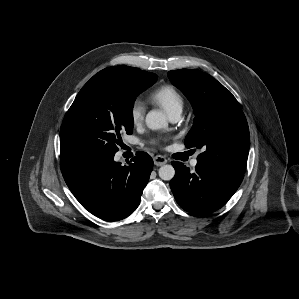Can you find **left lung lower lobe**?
Here are the masks:
<instances>
[{
    "label": "left lung lower lobe",
    "instance_id": "0a47b994",
    "mask_svg": "<svg viewBox=\"0 0 299 299\" xmlns=\"http://www.w3.org/2000/svg\"><path fill=\"white\" fill-rule=\"evenodd\" d=\"M175 176L170 187L177 203L187 212L205 215L221 208L236 192L244 174L197 162L190 172L181 162H172Z\"/></svg>",
    "mask_w": 299,
    "mask_h": 299
}]
</instances>
